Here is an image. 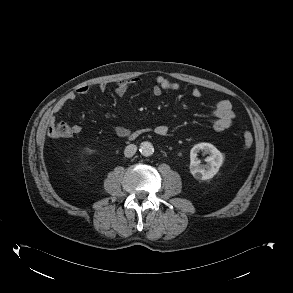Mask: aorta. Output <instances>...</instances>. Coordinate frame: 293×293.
Returning a JSON list of instances; mask_svg holds the SVG:
<instances>
[{
  "label": "aorta",
  "mask_w": 293,
  "mask_h": 293,
  "mask_svg": "<svg viewBox=\"0 0 293 293\" xmlns=\"http://www.w3.org/2000/svg\"><path fill=\"white\" fill-rule=\"evenodd\" d=\"M140 153L143 156H151L154 153V147L152 143L144 141L140 144Z\"/></svg>",
  "instance_id": "1"
}]
</instances>
